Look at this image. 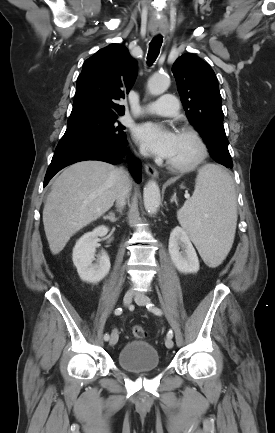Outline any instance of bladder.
<instances>
[{
	"mask_svg": "<svg viewBox=\"0 0 275 433\" xmlns=\"http://www.w3.org/2000/svg\"><path fill=\"white\" fill-rule=\"evenodd\" d=\"M119 366L133 374H141L160 368L156 348L141 340H131L124 344L117 356Z\"/></svg>",
	"mask_w": 275,
	"mask_h": 433,
	"instance_id": "31cf9c89",
	"label": "bladder"
}]
</instances>
